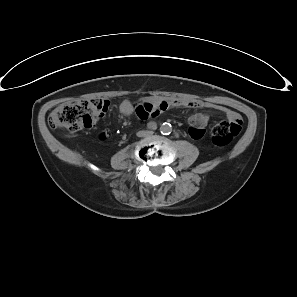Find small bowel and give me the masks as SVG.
I'll use <instances>...</instances> for the list:
<instances>
[{
  "label": "small bowel",
  "mask_w": 297,
  "mask_h": 297,
  "mask_svg": "<svg viewBox=\"0 0 297 297\" xmlns=\"http://www.w3.org/2000/svg\"><path fill=\"white\" fill-rule=\"evenodd\" d=\"M171 106L188 108L208 107L224 113L229 120L239 115L238 113L217 104L187 99L146 100L140 103L136 108L129 101H124L120 106V111L123 115L129 116L136 110L138 117L141 120H146L150 117L157 116L159 113L167 110ZM209 119L210 117L203 113L193 114L189 118V134L193 139H200L204 135V129L208 124Z\"/></svg>",
  "instance_id": "obj_1"
}]
</instances>
